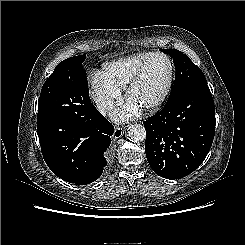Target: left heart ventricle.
<instances>
[{"instance_id":"1","label":"left heart ventricle","mask_w":245,"mask_h":245,"mask_svg":"<svg viewBox=\"0 0 245 245\" xmlns=\"http://www.w3.org/2000/svg\"><path fill=\"white\" fill-rule=\"evenodd\" d=\"M168 72L169 67L166 59L151 58L141 82L131 94L130 101L140 108L155 101L164 89Z\"/></svg>"}]
</instances>
